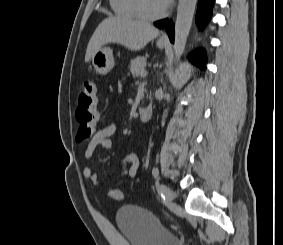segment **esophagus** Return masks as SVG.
I'll return each mask as SVG.
<instances>
[{"instance_id":"1","label":"esophagus","mask_w":283,"mask_h":245,"mask_svg":"<svg viewBox=\"0 0 283 245\" xmlns=\"http://www.w3.org/2000/svg\"><path fill=\"white\" fill-rule=\"evenodd\" d=\"M160 40H162V41H168V36H167V34L163 33V34L161 35V37H160Z\"/></svg>"}]
</instances>
